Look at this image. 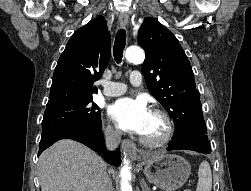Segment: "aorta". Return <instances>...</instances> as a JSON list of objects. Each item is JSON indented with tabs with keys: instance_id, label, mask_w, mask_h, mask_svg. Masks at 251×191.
<instances>
[{
	"instance_id": "aorta-1",
	"label": "aorta",
	"mask_w": 251,
	"mask_h": 191,
	"mask_svg": "<svg viewBox=\"0 0 251 191\" xmlns=\"http://www.w3.org/2000/svg\"><path fill=\"white\" fill-rule=\"evenodd\" d=\"M125 58L127 62H132V64H139L144 60V52L138 46H130L125 52ZM129 159H124V165L120 169L121 175V191H132V185H130L128 179L131 177V167L129 165Z\"/></svg>"
}]
</instances>
